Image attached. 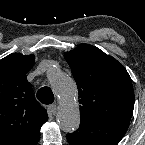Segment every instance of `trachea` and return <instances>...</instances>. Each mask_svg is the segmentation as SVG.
Here are the masks:
<instances>
[{
	"instance_id": "obj_1",
	"label": "trachea",
	"mask_w": 145,
	"mask_h": 145,
	"mask_svg": "<svg viewBox=\"0 0 145 145\" xmlns=\"http://www.w3.org/2000/svg\"><path fill=\"white\" fill-rule=\"evenodd\" d=\"M36 97L43 104H51L54 102V94L49 87L40 88Z\"/></svg>"
}]
</instances>
